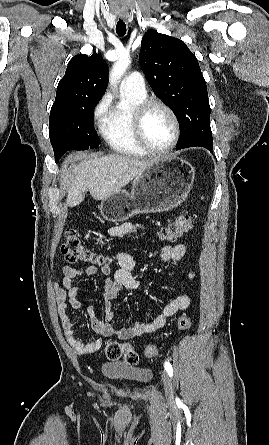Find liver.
<instances>
[{
  "label": "liver",
  "mask_w": 269,
  "mask_h": 445,
  "mask_svg": "<svg viewBox=\"0 0 269 445\" xmlns=\"http://www.w3.org/2000/svg\"><path fill=\"white\" fill-rule=\"evenodd\" d=\"M155 161L129 155L97 157L77 152L67 171L70 188L66 204L69 207L79 205L88 191L95 200H104L120 191Z\"/></svg>",
  "instance_id": "6515ba94"
}]
</instances>
